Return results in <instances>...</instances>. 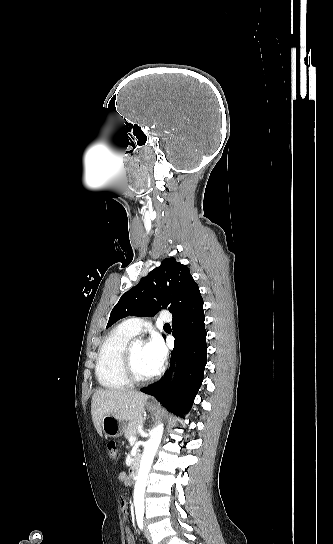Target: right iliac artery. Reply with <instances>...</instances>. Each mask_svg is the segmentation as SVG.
Listing matches in <instances>:
<instances>
[{"mask_svg":"<svg viewBox=\"0 0 333 544\" xmlns=\"http://www.w3.org/2000/svg\"><path fill=\"white\" fill-rule=\"evenodd\" d=\"M136 520H137L138 527L141 530H143V513L142 512L136 513Z\"/></svg>","mask_w":333,"mask_h":544,"instance_id":"obj_1","label":"right iliac artery"}]
</instances>
